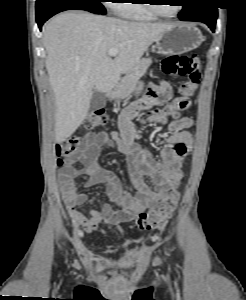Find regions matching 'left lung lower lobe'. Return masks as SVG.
Wrapping results in <instances>:
<instances>
[{"label": "left lung lower lobe", "mask_w": 246, "mask_h": 300, "mask_svg": "<svg viewBox=\"0 0 246 300\" xmlns=\"http://www.w3.org/2000/svg\"><path fill=\"white\" fill-rule=\"evenodd\" d=\"M217 14V7H215L211 2L204 1L192 10L179 14V19L182 21L203 22L214 32Z\"/></svg>", "instance_id": "left-lung-lower-lobe-1"}]
</instances>
